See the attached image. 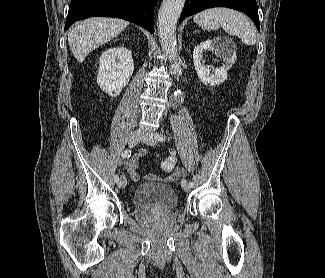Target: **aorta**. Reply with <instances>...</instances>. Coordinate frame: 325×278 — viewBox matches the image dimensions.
<instances>
[{"label":"aorta","mask_w":325,"mask_h":278,"mask_svg":"<svg viewBox=\"0 0 325 278\" xmlns=\"http://www.w3.org/2000/svg\"><path fill=\"white\" fill-rule=\"evenodd\" d=\"M185 0H163L158 13V36L163 50L172 61L171 73L180 74L177 60L176 24L182 12Z\"/></svg>","instance_id":"aorta-1"}]
</instances>
